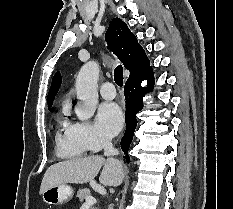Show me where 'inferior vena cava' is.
Instances as JSON below:
<instances>
[{"mask_svg": "<svg viewBox=\"0 0 233 209\" xmlns=\"http://www.w3.org/2000/svg\"><path fill=\"white\" fill-rule=\"evenodd\" d=\"M102 146L104 148V155L109 158H112V156L117 155L119 153V151L114 148L112 142L109 140H104L102 142Z\"/></svg>", "mask_w": 233, "mask_h": 209, "instance_id": "1", "label": "inferior vena cava"}]
</instances>
